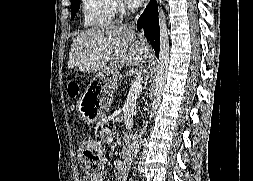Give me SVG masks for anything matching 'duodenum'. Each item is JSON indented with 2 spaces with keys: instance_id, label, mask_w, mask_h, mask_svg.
Listing matches in <instances>:
<instances>
[{
  "instance_id": "1",
  "label": "duodenum",
  "mask_w": 253,
  "mask_h": 181,
  "mask_svg": "<svg viewBox=\"0 0 253 181\" xmlns=\"http://www.w3.org/2000/svg\"><path fill=\"white\" fill-rule=\"evenodd\" d=\"M144 134H145V130H144V129L139 130L138 133H137V135H138L139 137H143Z\"/></svg>"
}]
</instances>
